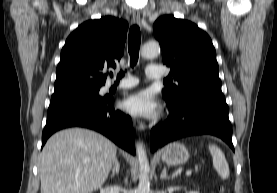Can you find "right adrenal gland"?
I'll list each match as a JSON object with an SVG mask.
<instances>
[{
  "instance_id": "right-adrenal-gland-1",
  "label": "right adrenal gland",
  "mask_w": 277,
  "mask_h": 193,
  "mask_svg": "<svg viewBox=\"0 0 277 193\" xmlns=\"http://www.w3.org/2000/svg\"><path fill=\"white\" fill-rule=\"evenodd\" d=\"M119 171H120V163H119L118 159L116 158L115 162H114V167L112 169L111 178H113L115 176V174H119Z\"/></svg>"
}]
</instances>
